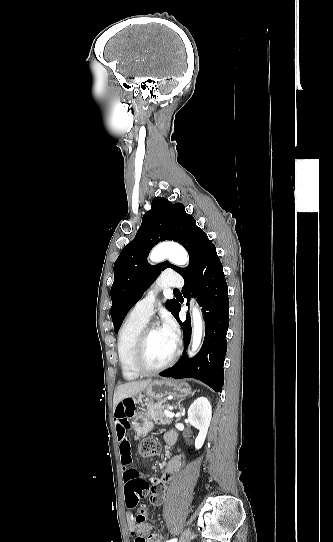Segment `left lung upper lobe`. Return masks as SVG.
Masks as SVG:
<instances>
[{"label":"left lung upper lobe","mask_w":333,"mask_h":542,"mask_svg":"<svg viewBox=\"0 0 333 542\" xmlns=\"http://www.w3.org/2000/svg\"><path fill=\"white\" fill-rule=\"evenodd\" d=\"M164 240H174L185 247L190 257L187 268L177 267L168 261L156 266L147 262L151 249ZM207 241V235L196 225L195 219L186 213L183 204H173L163 197L155 198L151 210L143 216L136 237L122 249L114 264L111 318L115 333L118 332L126 313L161 271L172 268L184 277L197 265ZM166 308L175 316L177 300H167Z\"/></svg>","instance_id":"obj_1"}]
</instances>
